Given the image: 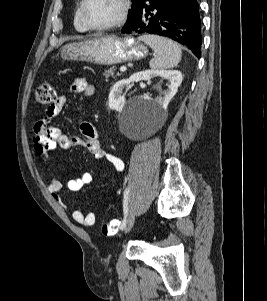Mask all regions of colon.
I'll return each instance as SVG.
<instances>
[{"label":"colon","instance_id":"1","mask_svg":"<svg viewBox=\"0 0 267 301\" xmlns=\"http://www.w3.org/2000/svg\"><path fill=\"white\" fill-rule=\"evenodd\" d=\"M56 100V91L48 83L39 85L35 91V101L38 105L46 106L52 105ZM119 229V221L117 219H112L102 226V233L105 236H111L117 233Z\"/></svg>","mask_w":267,"mask_h":301}]
</instances>
